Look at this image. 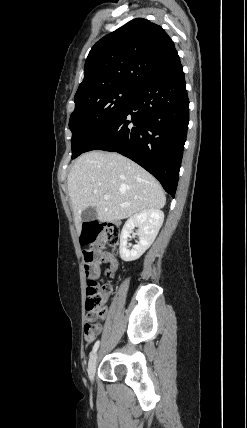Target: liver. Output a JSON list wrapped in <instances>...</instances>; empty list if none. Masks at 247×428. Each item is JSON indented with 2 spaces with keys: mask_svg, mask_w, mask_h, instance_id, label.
Wrapping results in <instances>:
<instances>
[{
  "mask_svg": "<svg viewBox=\"0 0 247 428\" xmlns=\"http://www.w3.org/2000/svg\"><path fill=\"white\" fill-rule=\"evenodd\" d=\"M67 182L79 232L81 213L89 207L95 208L100 222H107L126 219L147 209H161L166 203L159 182L141 166L117 153L82 154L71 168ZM104 195L110 198L105 200Z\"/></svg>",
  "mask_w": 247,
  "mask_h": 428,
  "instance_id": "liver-1",
  "label": "liver"
}]
</instances>
